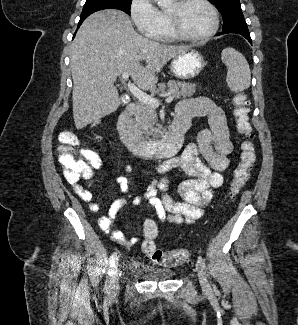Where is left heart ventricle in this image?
I'll return each instance as SVG.
<instances>
[{
    "label": "left heart ventricle",
    "instance_id": "obj_1",
    "mask_svg": "<svg viewBox=\"0 0 298 325\" xmlns=\"http://www.w3.org/2000/svg\"><path fill=\"white\" fill-rule=\"evenodd\" d=\"M176 17L181 31L190 37L206 34L211 26L212 19L207 9L197 3L189 2L176 10Z\"/></svg>",
    "mask_w": 298,
    "mask_h": 325
}]
</instances>
